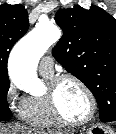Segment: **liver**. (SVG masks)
Here are the masks:
<instances>
[{"instance_id":"liver-1","label":"liver","mask_w":116,"mask_h":134,"mask_svg":"<svg viewBox=\"0 0 116 134\" xmlns=\"http://www.w3.org/2000/svg\"><path fill=\"white\" fill-rule=\"evenodd\" d=\"M0 134H46L34 131L31 128L22 126H4L0 123Z\"/></svg>"}]
</instances>
